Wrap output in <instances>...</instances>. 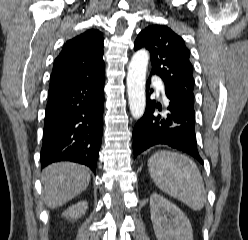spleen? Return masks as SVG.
Instances as JSON below:
<instances>
[{"label":"spleen","instance_id":"spleen-1","mask_svg":"<svg viewBox=\"0 0 248 240\" xmlns=\"http://www.w3.org/2000/svg\"><path fill=\"white\" fill-rule=\"evenodd\" d=\"M154 183L166 194L178 199L195 211L203 208L206 192L201 173L186 155L159 151L148 160Z\"/></svg>","mask_w":248,"mask_h":240}]
</instances>
